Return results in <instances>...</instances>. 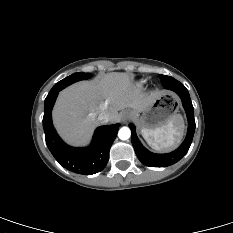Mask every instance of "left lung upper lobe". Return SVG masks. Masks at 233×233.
I'll return each instance as SVG.
<instances>
[{
  "mask_svg": "<svg viewBox=\"0 0 233 233\" xmlns=\"http://www.w3.org/2000/svg\"><path fill=\"white\" fill-rule=\"evenodd\" d=\"M160 79L162 82V85L165 87L168 84L172 83L175 79L170 77V76H166V75H160Z\"/></svg>",
  "mask_w": 233,
  "mask_h": 233,
  "instance_id": "5c2ea615",
  "label": "left lung upper lobe"
}]
</instances>
